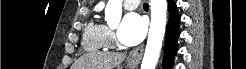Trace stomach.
<instances>
[{
    "instance_id": "obj_1",
    "label": "stomach",
    "mask_w": 246,
    "mask_h": 69,
    "mask_svg": "<svg viewBox=\"0 0 246 69\" xmlns=\"http://www.w3.org/2000/svg\"><path fill=\"white\" fill-rule=\"evenodd\" d=\"M136 65V63H128L127 69H135Z\"/></svg>"
}]
</instances>
